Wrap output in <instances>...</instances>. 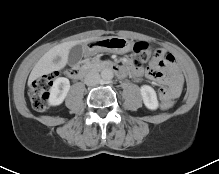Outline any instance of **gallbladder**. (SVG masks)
<instances>
[{"mask_svg": "<svg viewBox=\"0 0 219 174\" xmlns=\"http://www.w3.org/2000/svg\"><path fill=\"white\" fill-rule=\"evenodd\" d=\"M83 53H84L83 46H81L80 44L73 46L69 50L68 64L71 66L77 65L81 61L83 57Z\"/></svg>", "mask_w": 219, "mask_h": 174, "instance_id": "1", "label": "gallbladder"}]
</instances>
